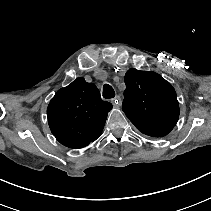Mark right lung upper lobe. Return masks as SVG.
<instances>
[{"instance_id": "1", "label": "right lung upper lobe", "mask_w": 211, "mask_h": 211, "mask_svg": "<svg viewBox=\"0 0 211 211\" xmlns=\"http://www.w3.org/2000/svg\"><path fill=\"white\" fill-rule=\"evenodd\" d=\"M112 104L103 101L93 83L77 78L58 90L47 108L48 123L55 138L69 148H82L102 133Z\"/></svg>"}]
</instances>
